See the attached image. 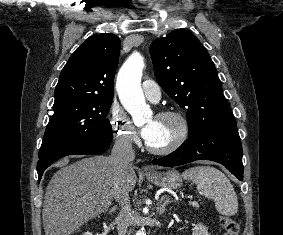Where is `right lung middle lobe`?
Masks as SVG:
<instances>
[{
    "instance_id": "right-lung-middle-lobe-1",
    "label": "right lung middle lobe",
    "mask_w": 283,
    "mask_h": 235,
    "mask_svg": "<svg viewBox=\"0 0 283 235\" xmlns=\"http://www.w3.org/2000/svg\"><path fill=\"white\" fill-rule=\"evenodd\" d=\"M112 97H73L54 103L39 158L70 142L112 134L107 114Z\"/></svg>"
}]
</instances>
